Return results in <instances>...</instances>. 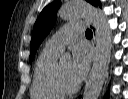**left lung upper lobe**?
<instances>
[{
  "label": "left lung upper lobe",
  "mask_w": 128,
  "mask_h": 99,
  "mask_svg": "<svg viewBox=\"0 0 128 99\" xmlns=\"http://www.w3.org/2000/svg\"><path fill=\"white\" fill-rule=\"evenodd\" d=\"M88 2L94 6L100 5L99 0H88ZM60 5V1H55L46 6L35 22L30 44V62L33 60L38 46L54 26L56 21V13Z\"/></svg>",
  "instance_id": "obj_1"
}]
</instances>
